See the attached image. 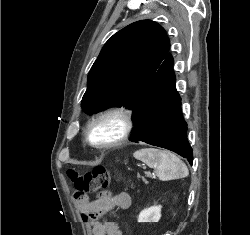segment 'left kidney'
Instances as JSON below:
<instances>
[{
  "instance_id": "obj_1",
  "label": "left kidney",
  "mask_w": 250,
  "mask_h": 235,
  "mask_svg": "<svg viewBox=\"0 0 250 235\" xmlns=\"http://www.w3.org/2000/svg\"><path fill=\"white\" fill-rule=\"evenodd\" d=\"M161 218V206H152L140 212L138 222H158Z\"/></svg>"
}]
</instances>
